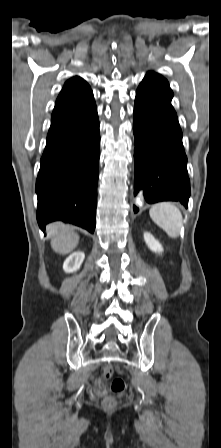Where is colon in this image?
Returning <instances> with one entry per match:
<instances>
[{
  "mask_svg": "<svg viewBox=\"0 0 221 448\" xmlns=\"http://www.w3.org/2000/svg\"><path fill=\"white\" fill-rule=\"evenodd\" d=\"M113 374H114V368L111 365H106L103 369L102 378L109 379L113 376ZM125 388H126V385H125L123 378H121V377L113 378L111 381V384H110V390L114 396L107 397L103 402V406L106 409L114 408L116 405V402H117L115 395H119V394L123 393L125 391Z\"/></svg>",
  "mask_w": 221,
  "mask_h": 448,
  "instance_id": "colon-1",
  "label": "colon"
}]
</instances>
